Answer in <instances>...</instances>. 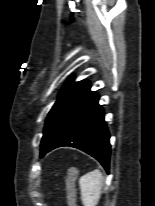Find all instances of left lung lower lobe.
Instances as JSON below:
<instances>
[{
  "instance_id": "obj_1",
  "label": "left lung lower lobe",
  "mask_w": 155,
  "mask_h": 206,
  "mask_svg": "<svg viewBox=\"0 0 155 206\" xmlns=\"http://www.w3.org/2000/svg\"><path fill=\"white\" fill-rule=\"evenodd\" d=\"M109 138L104 112L97 101L62 137L41 152L40 156L43 157L47 152L58 147H74L93 156L109 172L111 150Z\"/></svg>"
}]
</instances>
